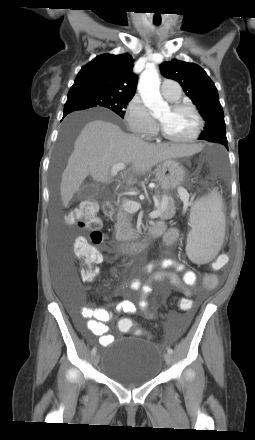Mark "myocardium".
Wrapping results in <instances>:
<instances>
[{"instance_id":"myocardium-1","label":"myocardium","mask_w":255,"mask_h":440,"mask_svg":"<svg viewBox=\"0 0 255 440\" xmlns=\"http://www.w3.org/2000/svg\"><path fill=\"white\" fill-rule=\"evenodd\" d=\"M170 108L173 111H177V110H181V109H186L189 110L190 112L193 113V115L195 116L196 120H197V127L195 132L193 133V135H191L190 137L186 138V139H177L172 137L171 135H169L165 129L163 128V126H160V131H161V135L162 137L170 142H174V143H179V144H186V143H191L195 140H197L203 130V126H204V121L202 116L200 115V113L196 110V108L190 104L187 103H183V102H174Z\"/></svg>"}]
</instances>
